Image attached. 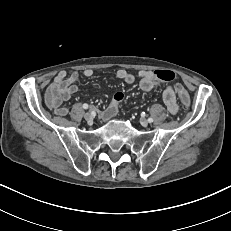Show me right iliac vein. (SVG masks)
I'll use <instances>...</instances> for the list:
<instances>
[{"instance_id": "right-iliac-vein-1", "label": "right iliac vein", "mask_w": 231, "mask_h": 231, "mask_svg": "<svg viewBox=\"0 0 231 231\" xmlns=\"http://www.w3.org/2000/svg\"><path fill=\"white\" fill-rule=\"evenodd\" d=\"M84 118H85V120L88 121V122H91V121L93 120V116H92V114L89 113V112H86V113L84 114Z\"/></svg>"}]
</instances>
